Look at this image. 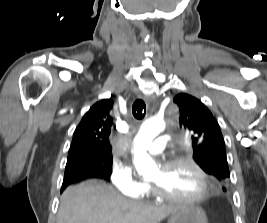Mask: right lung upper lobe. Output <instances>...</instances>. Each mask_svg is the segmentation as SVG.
Instances as JSON below:
<instances>
[{
    "mask_svg": "<svg viewBox=\"0 0 267 223\" xmlns=\"http://www.w3.org/2000/svg\"><path fill=\"white\" fill-rule=\"evenodd\" d=\"M112 105L111 99H103L84 115L73 134L67 163L96 160L102 169L101 160L111 158L112 147L108 138L113 124L110 114Z\"/></svg>",
    "mask_w": 267,
    "mask_h": 223,
    "instance_id": "cb5924a9",
    "label": "right lung upper lobe"
}]
</instances>
